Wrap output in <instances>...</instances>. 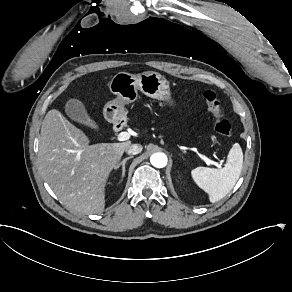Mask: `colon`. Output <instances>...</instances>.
Returning a JSON list of instances; mask_svg holds the SVG:
<instances>
[{"label":"colon","instance_id":"1","mask_svg":"<svg viewBox=\"0 0 292 292\" xmlns=\"http://www.w3.org/2000/svg\"><path fill=\"white\" fill-rule=\"evenodd\" d=\"M203 99L207 109L214 118L215 130L217 133L222 136H229L231 134V125L229 121L224 118L225 110L218 95L210 90L205 91L203 93Z\"/></svg>","mask_w":292,"mask_h":292}]
</instances>
